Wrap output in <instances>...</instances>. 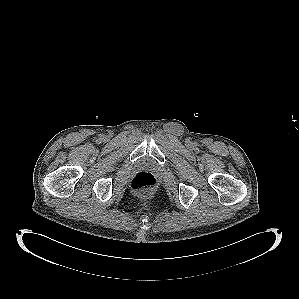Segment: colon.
<instances>
[{"mask_svg":"<svg viewBox=\"0 0 299 299\" xmlns=\"http://www.w3.org/2000/svg\"><path fill=\"white\" fill-rule=\"evenodd\" d=\"M157 184L155 176L147 171L136 173L131 179V188L137 193L152 191Z\"/></svg>","mask_w":299,"mask_h":299,"instance_id":"obj_1","label":"colon"}]
</instances>
